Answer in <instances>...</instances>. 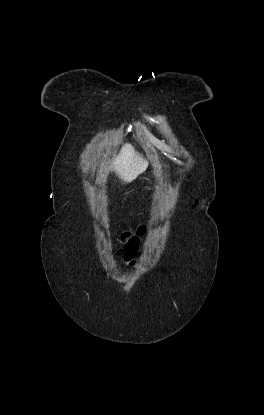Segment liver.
Returning <instances> with one entry per match:
<instances>
[{
	"label": "liver",
	"mask_w": 264,
	"mask_h": 415,
	"mask_svg": "<svg viewBox=\"0 0 264 415\" xmlns=\"http://www.w3.org/2000/svg\"><path fill=\"white\" fill-rule=\"evenodd\" d=\"M147 166V161L130 144H125L112 162V169L127 183L135 180Z\"/></svg>",
	"instance_id": "1"
}]
</instances>
